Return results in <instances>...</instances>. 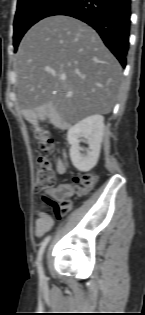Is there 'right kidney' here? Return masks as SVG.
I'll use <instances>...</instances> for the list:
<instances>
[{"mask_svg": "<svg viewBox=\"0 0 145 315\" xmlns=\"http://www.w3.org/2000/svg\"><path fill=\"white\" fill-rule=\"evenodd\" d=\"M103 132L104 118L98 114L88 116L69 128L67 140L71 145L70 158L74 167L79 171L88 172L97 164ZM81 137L89 145L85 155L80 153L79 143Z\"/></svg>", "mask_w": 145, "mask_h": 315, "instance_id": "obj_1", "label": "right kidney"}]
</instances>
